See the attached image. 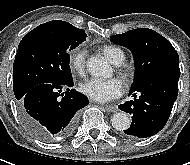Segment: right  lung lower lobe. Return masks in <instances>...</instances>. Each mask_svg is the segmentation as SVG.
<instances>
[{
  "label": "right lung lower lobe",
  "instance_id": "obj_1",
  "mask_svg": "<svg viewBox=\"0 0 190 165\" xmlns=\"http://www.w3.org/2000/svg\"><path fill=\"white\" fill-rule=\"evenodd\" d=\"M72 86L73 81L42 83L27 91L17 103L24 125L39 140L51 142L57 137L66 138L72 134L78 111L89 103L83 94L69 90ZM66 87L67 91L62 93Z\"/></svg>",
  "mask_w": 190,
  "mask_h": 165
}]
</instances>
